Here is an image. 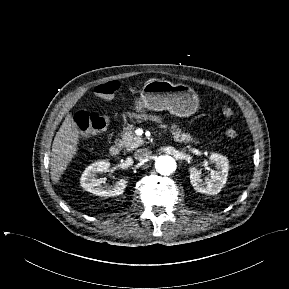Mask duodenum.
<instances>
[{"mask_svg":"<svg viewBox=\"0 0 289 289\" xmlns=\"http://www.w3.org/2000/svg\"><path fill=\"white\" fill-rule=\"evenodd\" d=\"M121 152V144L116 142L110 147V154L112 156H117Z\"/></svg>","mask_w":289,"mask_h":289,"instance_id":"obj_1","label":"duodenum"}]
</instances>
